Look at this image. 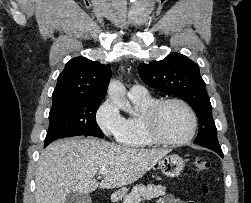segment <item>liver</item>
<instances>
[{"mask_svg": "<svg viewBox=\"0 0 251 203\" xmlns=\"http://www.w3.org/2000/svg\"><path fill=\"white\" fill-rule=\"evenodd\" d=\"M170 150L120 146L97 138H66L42 152L36 172L35 203H65L71 192L89 194L98 187L129 185L146 174ZM101 168L110 172L100 183Z\"/></svg>", "mask_w": 251, "mask_h": 203, "instance_id": "6515ba94", "label": "liver"}]
</instances>
